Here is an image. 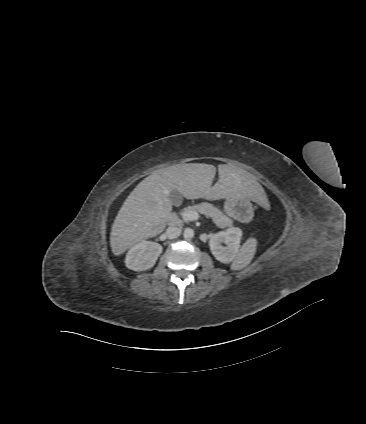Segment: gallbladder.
Here are the masks:
<instances>
[{"instance_id":"gallbladder-1","label":"gallbladder","mask_w":366,"mask_h":424,"mask_svg":"<svg viewBox=\"0 0 366 424\" xmlns=\"http://www.w3.org/2000/svg\"><path fill=\"white\" fill-rule=\"evenodd\" d=\"M170 200H171L172 204H174V205L180 204V202H181V194L177 190H173L170 193Z\"/></svg>"}]
</instances>
